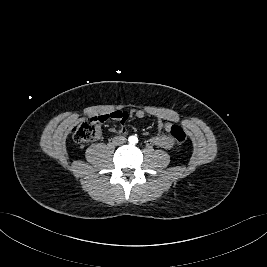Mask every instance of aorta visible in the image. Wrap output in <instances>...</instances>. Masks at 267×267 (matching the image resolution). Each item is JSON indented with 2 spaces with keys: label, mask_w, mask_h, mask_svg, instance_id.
Wrapping results in <instances>:
<instances>
[{
  "label": "aorta",
  "mask_w": 267,
  "mask_h": 267,
  "mask_svg": "<svg viewBox=\"0 0 267 267\" xmlns=\"http://www.w3.org/2000/svg\"><path fill=\"white\" fill-rule=\"evenodd\" d=\"M130 144H136L138 142V138L136 136L129 137Z\"/></svg>",
  "instance_id": "obj_1"
}]
</instances>
